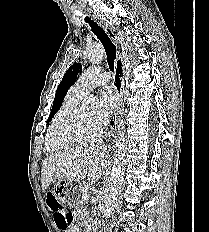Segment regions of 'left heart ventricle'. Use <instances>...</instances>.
Segmentation results:
<instances>
[{
  "instance_id": "left-heart-ventricle-1",
  "label": "left heart ventricle",
  "mask_w": 209,
  "mask_h": 232,
  "mask_svg": "<svg viewBox=\"0 0 209 232\" xmlns=\"http://www.w3.org/2000/svg\"><path fill=\"white\" fill-rule=\"evenodd\" d=\"M79 127L84 131H92L98 127L97 114L92 108H83Z\"/></svg>"
}]
</instances>
